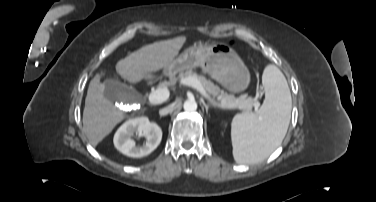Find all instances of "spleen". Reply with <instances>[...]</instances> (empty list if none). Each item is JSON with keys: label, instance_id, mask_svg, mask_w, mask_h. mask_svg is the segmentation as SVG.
I'll list each match as a JSON object with an SVG mask.
<instances>
[{"label": "spleen", "instance_id": "spleen-1", "mask_svg": "<svg viewBox=\"0 0 376 202\" xmlns=\"http://www.w3.org/2000/svg\"><path fill=\"white\" fill-rule=\"evenodd\" d=\"M265 100L258 113H242L231 123L233 156L237 163L267 158L283 141L290 122L292 99L284 74L267 65L262 74Z\"/></svg>", "mask_w": 376, "mask_h": 202}]
</instances>
